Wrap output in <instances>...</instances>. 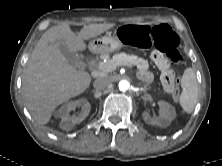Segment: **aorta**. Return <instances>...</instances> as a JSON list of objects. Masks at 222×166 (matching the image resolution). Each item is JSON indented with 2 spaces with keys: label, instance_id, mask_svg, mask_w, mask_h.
<instances>
[{
  "label": "aorta",
  "instance_id": "762f6f07",
  "mask_svg": "<svg viewBox=\"0 0 222 166\" xmlns=\"http://www.w3.org/2000/svg\"><path fill=\"white\" fill-rule=\"evenodd\" d=\"M130 88V83L127 80H121L119 82V89L121 91H126Z\"/></svg>",
  "mask_w": 222,
  "mask_h": 166
}]
</instances>
